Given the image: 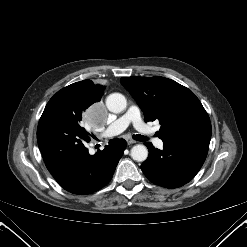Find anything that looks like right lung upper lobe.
<instances>
[{"label": "right lung upper lobe", "instance_id": "right-lung-upper-lobe-1", "mask_svg": "<svg viewBox=\"0 0 247 247\" xmlns=\"http://www.w3.org/2000/svg\"><path fill=\"white\" fill-rule=\"evenodd\" d=\"M67 87L74 89L80 94L91 97L95 101H99L104 92V87L102 85H95L91 80L76 82Z\"/></svg>", "mask_w": 247, "mask_h": 247}]
</instances>
